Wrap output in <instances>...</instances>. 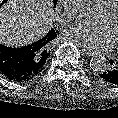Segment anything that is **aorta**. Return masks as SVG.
Listing matches in <instances>:
<instances>
[{
    "label": "aorta",
    "instance_id": "1",
    "mask_svg": "<svg viewBox=\"0 0 118 118\" xmlns=\"http://www.w3.org/2000/svg\"><path fill=\"white\" fill-rule=\"evenodd\" d=\"M93 13V6L90 2L80 1V3L75 7V15L80 20H91ZM90 67L94 72H104L107 68V61L104 56L96 55L91 58Z\"/></svg>",
    "mask_w": 118,
    "mask_h": 118
}]
</instances>
